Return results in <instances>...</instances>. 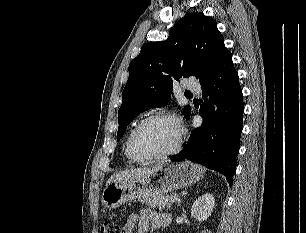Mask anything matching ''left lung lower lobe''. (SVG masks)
<instances>
[{
	"mask_svg": "<svg viewBox=\"0 0 306 233\" xmlns=\"http://www.w3.org/2000/svg\"><path fill=\"white\" fill-rule=\"evenodd\" d=\"M204 102L200 127L194 129L184 149L170 157L190 160L226 176L232 186L243 128L244 105L238 73L227 51L210 75L200 82Z\"/></svg>",
	"mask_w": 306,
	"mask_h": 233,
	"instance_id": "0a47b994",
	"label": "left lung lower lobe"
}]
</instances>
